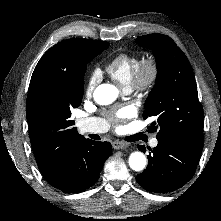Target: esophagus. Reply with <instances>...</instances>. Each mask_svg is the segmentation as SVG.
<instances>
[{"label":"esophagus","instance_id":"esophagus-1","mask_svg":"<svg viewBox=\"0 0 221 221\" xmlns=\"http://www.w3.org/2000/svg\"><path fill=\"white\" fill-rule=\"evenodd\" d=\"M129 146L130 144L127 142H118V141L113 142V148L115 150L125 149V148H128Z\"/></svg>","mask_w":221,"mask_h":221}]
</instances>
